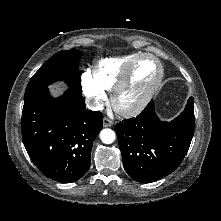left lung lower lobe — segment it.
Listing matches in <instances>:
<instances>
[{"label": "left lung lower lobe", "mask_w": 221, "mask_h": 221, "mask_svg": "<svg viewBox=\"0 0 221 221\" xmlns=\"http://www.w3.org/2000/svg\"><path fill=\"white\" fill-rule=\"evenodd\" d=\"M193 97L171 122L161 121L153 101L136 117L116 124L127 174L140 183L157 181L183 161L194 134Z\"/></svg>", "instance_id": "obj_1"}]
</instances>
